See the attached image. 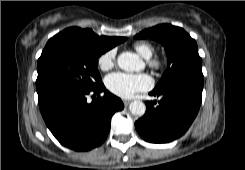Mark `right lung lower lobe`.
<instances>
[{"mask_svg":"<svg viewBox=\"0 0 245 170\" xmlns=\"http://www.w3.org/2000/svg\"><path fill=\"white\" fill-rule=\"evenodd\" d=\"M90 93L98 95L91 103L87 102ZM39 107L47 127L62 145L75 151H88L104 142L112 115L124 105L100 84L91 91L55 95L40 102Z\"/></svg>","mask_w":245,"mask_h":170,"instance_id":"obj_1","label":"right lung lower lobe"}]
</instances>
